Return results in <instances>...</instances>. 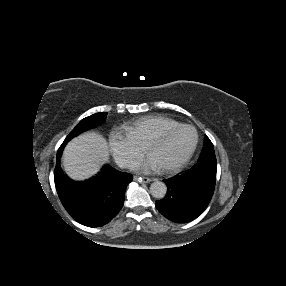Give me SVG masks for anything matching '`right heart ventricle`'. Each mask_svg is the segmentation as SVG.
<instances>
[{
    "instance_id": "e07e8e85",
    "label": "right heart ventricle",
    "mask_w": 286,
    "mask_h": 286,
    "mask_svg": "<svg viewBox=\"0 0 286 286\" xmlns=\"http://www.w3.org/2000/svg\"><path fill=\"white\" fill-rule=\"evenodd\" d=\"M180 125L182 124L174 119L155 115L141 117L127 125L125 129L136 141L145 146L150 138Z\"/></svg>"
}]
</instances>
